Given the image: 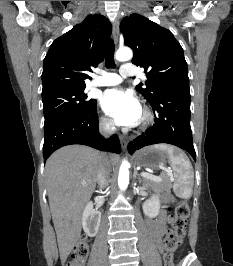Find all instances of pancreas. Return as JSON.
<instances>
[{
  "mask_svg": "<svg viewBox=\"0 0 233 266\" xmlns=\"http://www.w3.org/2000/svg\"><path fill=\"white\" fill-rule=\"evenodd\" d=\"M143 182L146 184V185H151V186H154V187H170V184L168 181H160V182H155V181H152L150 179H147V178H143Z\"/></svg>",
  "mask_w": 233,
  "mask_h": 266,
  "instance_id": "pancreas-1",
  "label": "pancreas"
}]
</instances>
